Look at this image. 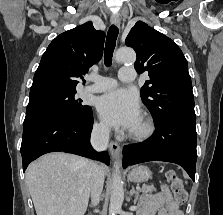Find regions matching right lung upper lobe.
<instances>
[{
  "mask_svg": "<svg viewBox=\"0 0 223 215\" xmlns=\"http://www.w3.org/2000/svg\"><path fill=\"white\" fill-rule=\"evenodd\" d=\"M104 39L91 22L57 36L41 58L30 92L76 90L82 75L101 59Z\"/></svg>",
  "mask_w": 223,
  "mask_h": 215,
  "instance_id": "right-lung-upper-lobe-1",
  "label": "right lung upper lobe"
}]
</instances>
